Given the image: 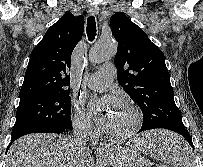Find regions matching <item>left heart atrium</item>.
<instances>
[{
    "label": "left heart atrium",
    "instance_id": "obj_1",
    "mask_svg": "<svg viewBox=\"0 0 203 167\" xmlns=\"http://www.w3.org/2000/svg\"><path fill=\"white\" fill-rule=\"evenodd\" d=\"M90 107L92 111H99L100 110V103L98 100L94 99L91 101L90 103ZM117 112H109L107 114H102L100 116H98L97 120L98 123L105 129H108L110 126V123L112 121V118L114 116V114H116Z\"/></svg>",
    "mask_w": 203,
    "mask_h": 167
}]
</instances>
